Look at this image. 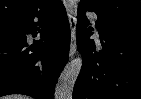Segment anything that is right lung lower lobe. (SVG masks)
Returning <instances> with one entry per match:
<instances>
[{
    "instance_id": "1",
    "label": "right lung lower lobe",
    "mask_w": 141,
    "mask_h": 99,
    "mask_svg": "<svg viewBox=\"0 0 141 99\" xmlns=\"http://www.w3.org/2000/svg\"><path fill=\"white\" fill-rule=\"evenodd\" d=\"M41 40L30 45L27 34ZM70 27L61 1L47 10L0 21V97L25 94L53 99L69 55Z\"/></svg>"
}]
</instances>
